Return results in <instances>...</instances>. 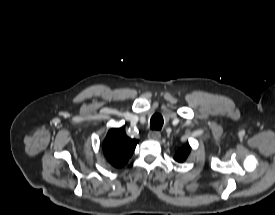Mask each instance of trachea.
I'll use <instances>...</instances> for the list:
<instances>
[{
    "mask_svg": "<svg viewBox=\"0 0 275 215\" xmlns=\"http://www.w3.org/2000/svg\"><path fill=\"white\" fill-rule=\"evenodd\" d=\"M163 126V117L156 113L151 117L150 128L152 130H160Z\"/></svg>",
    "mask_w": 275,
    "mask_h": 215,
    "instance_id": "3493384b",
    "label": "trachea"
}]
</instances>
